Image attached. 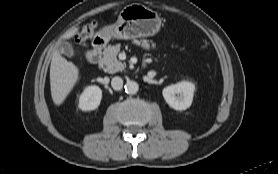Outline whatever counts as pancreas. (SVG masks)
I'll return each instance as SVG.
<instances>
[{
    "mask_svg": "<svg viewBox=\"0 0 278 174\" xmlns=\"http://www.w3.org/2000/svg\"><path fill=\"white\" fill-rule=\"evenodd\" d=\"M132 43L145 49L150 48V43L152 44L153 48L155 47L154 43L148 40H133ZM120 48L121 45L116 44L113 46H108L103 52L104 56L102 59V65L104 70L108 73L114 74L125 69V65L117 59Z\"/></svg>",
    "mask_w": 278,
    "mask_h": 174,
    "instance_id": "cf45deb5",
    "label": "pancreas"
}]
</instances>
